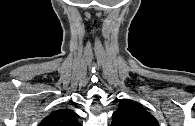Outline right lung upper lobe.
<instances>
[{"label":"right lung upper lobe","instance_id":"right-lung-upper-lobe-1","mask_svg":"<svg viewBox=\"0 0 195 126\" xmlns=\"http://www.w3.org/2000/svg\"><path fill=\"white\" fill-rule=\"evenodd\" d=\"M78 115L68 108H60L45 117L39 126H80Z\"/></svg>","mask_w":195,"mask_h":126}]
</instances>
